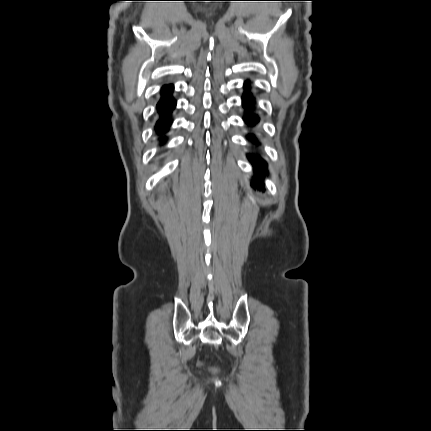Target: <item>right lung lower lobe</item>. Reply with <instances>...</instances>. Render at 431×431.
Masks as SVG:
<instances>
[{"mask_svg": "<svg viewBox=\"0 0 431 431\" xmlns=\"http://www.w3.org/2000/svg\"><path fill=\"white\" fill-rule=\"evenodd\" d=\"M173 86L168 85L162 88L161 98L157 103V111L159 113V119L155 124L154 129L157 135H159L160 143H165L167 137L165 133L169 130V126L172 123L171 114L176 105V101L172 97Z\"/></svg>", "mask_w": 431, "mask_h": 431, "instance_id": "right-lung-lower-lobe-1", "label": "right lung lower lobe"}]
</instances>
